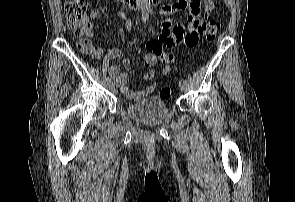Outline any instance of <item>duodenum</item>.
I'll list each match as a JSON object with an SVG mask.
<instances>
[{"instance_id":"1","label":"duodenum","mask_w":295,"mask_h":202,"mask_svg":"<svg viewBox=\"0 0 295 202\" xmlns=\"http://www.w3.org/2000/svg\"><path fill=\"white\" fill-rule=\"evenodd\" d=\"M132 9L140 8L144 0H119Z\"/></svg>"}]
</instances>
